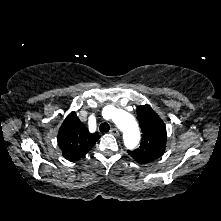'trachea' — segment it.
<instances>
[{
  "instance_id": "trachea-1",
  "label": "trachea",
  "mask_w": 221,
  "mask_h": 221,
  "mask_svg": "<svg viewBox=\"0 0 221 221\" xmlns=\"http://www.w3.org/2000/svg\"><path fill=\"white\" fill-rule=\"evenodd\" d=\"M109 129H110V127H109V124H108V123H102V124L99 126V130H100V132H102V133L108 132Z\"/></svg>"
}]
</instances>
